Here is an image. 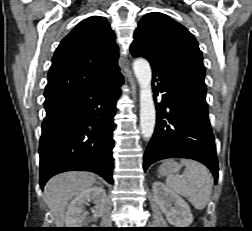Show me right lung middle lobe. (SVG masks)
Instances as JSON below:
<instances>
[{"label":"right lung middle lobe","mask_w":252,"mask_h":231,"mask_svg":"<svg viewBox=\"0 0 252 231\" xmlns=\"http://www.w3.org/2000/svg\"><path fill=\"white\" fill-rule=\"evenodd\" d=\"M58 104H59V103H46V104H45V109H46V110H49V109L55 107V106L58 105Z\"/></svg>","instance_id":"obj_1"}]
</instances>
